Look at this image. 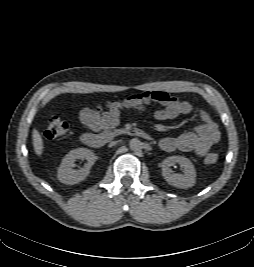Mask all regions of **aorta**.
<instances>
[{
  "label": "aorta",
  "instance_id": "1",
  "mask_svg": "<svg viewBox=\"0 0 254 267\" xmlns=\"http://www.w3.org/2000/svg\"><path fill=\"white\" fill-rule=\"evenodd\" d=\"M132 151H139L142 148V142L138 138H133L129 142Z\"/></svg>",
  "mask_w": 254,
  "mask_h": 267
}]
</instances>
